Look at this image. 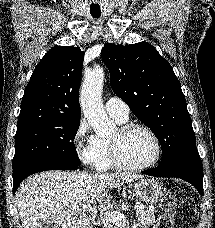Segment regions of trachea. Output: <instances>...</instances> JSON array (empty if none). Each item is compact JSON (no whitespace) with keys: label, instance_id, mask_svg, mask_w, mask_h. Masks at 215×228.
Returning <instances> with one entry per match:
<instances>
[{"label":"trachea","instance_id":"trachea-1","mask_svg":"<svg viewBox=\"0 0 215 228\" xmlns=\"http://www.w3.org/2000/svg\"><path fill=\"white\" fill-rule=\"evenodd\" d=\"M92 17L99 18L100 17V14H92Z\"/></svg>","mask_w":215,"mask_h":228}]
</instances>
